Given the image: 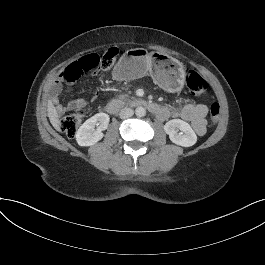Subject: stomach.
Wrapping results in <instances>:
<instances>
[{
    "mask_svg": "<svg viewBox=\"0 0 265 265\" xmlns=\"http://www.w3.org/2000/svg\"><path fill=\"white\" fill-rule=\"evenodd\" d=\"M185 69L177 59L163 53H148L143 48L126 51L114 74L119 80H131L150 74L163 89L178 92L183 88Z\"/></svg>",
    "mask_w": 265,
    "mask_h": 265,
    "instance_id": "1",
    "label": "stomach"
}]
</instances>
